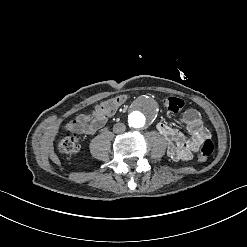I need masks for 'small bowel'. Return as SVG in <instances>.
<instances>
[{"instance_id": "c3829d8e", "label": "small bowel", "mask_w": 247, "mask_h": 247, "mask_svg": "<svg viewBox=\"0 0 247 247\" xmlns=\"http://www.w3.org/2000/svg\"><path fill=\"white\" fill-rule=\"evenodd\" d=\"M107 116L110 115L102 114L96 108L88 113L76 116L75 119L66 124V129L80 135H92L105 125ZM181 122L190 133L189 137H185L182 133L172 129L162 121L157 122L156 128L167 140L168 156L173 160L186 162L192 158L193 153L198 151L207 128L204 126L201 115L196 109L187 110L182 116Z\"/></svg>"}]
</instances>
